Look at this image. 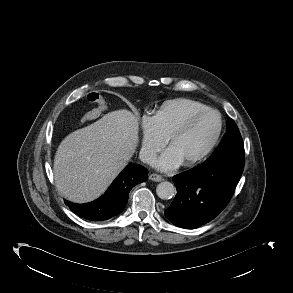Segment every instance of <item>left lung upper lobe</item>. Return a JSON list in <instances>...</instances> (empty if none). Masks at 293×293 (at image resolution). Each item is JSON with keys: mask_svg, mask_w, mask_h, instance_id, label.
I'll use <instances>...</instances> for the list:
<instances>
[{"mask_svg": "<svg viewBox=\"0 0 293 293\" xmlns=\"http://www.w3.org/2000/svg\"><path fill=\"white\" fill-rule=\"evenodd\" d=\"M226 127H227V133L224 135L223 139L221 140L220 145L212 153L209 159H207L204 163L215 162L220 157V153L222 152L221 149L225 148V146L233 147V148L238 146H243L242 137L233 119L230 118L227 120Z\"/></svg>", "mask_w": 293, "mask_h": 293, "instance_id": "obj_1", "label": "left lung upper lobe"}]
</instances>
